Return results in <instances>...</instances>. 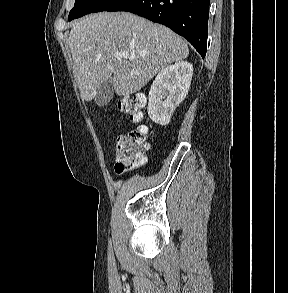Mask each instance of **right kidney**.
I'll use <instances>...</instances> for the list:
<instances>
[{"mask_svg": "<svg viewBox=\"0 0 288 293\" xmlns=\"http://www.w3.org/2000/svg\"><path fill=\"white\" fill-rule=\"evenodd\" d=\"M193 66L179 61L162 69L149 92L148 115L153 122L167 125L175 108L185 99L191 84Z\"/></svg>", "mask_w": 288, "mask_h": 293, "instance_id": "right-kidney-1", "label": "right kidney"}]
</instances>
